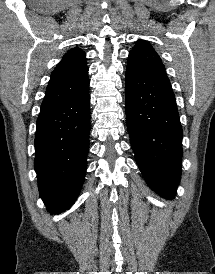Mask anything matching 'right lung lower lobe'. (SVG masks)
I'll use <instances>...</instances> for the list:
<instances>
[{
    "mask_svg": "<svg viewBox=\"0 0 215 274\" xmlns=\"http://www.w3.org/2000/svg\"><path fill=\"white\" fill-rule=\"evenodd\" d=\"M89 83L74 96L41 108L36 124L35 171L40 197L50 213L73 205L87 167Z\"/></svg>",
    "mask_w": 215,
    "mask_h": 274,
    "instance_id": "1",
    "label": "right lung lower lobe"
}]
</instances>
